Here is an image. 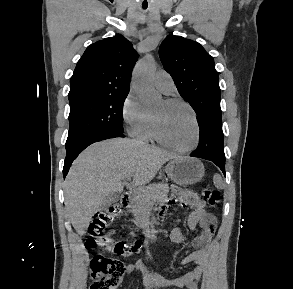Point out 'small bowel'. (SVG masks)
Instances as JSON below:
<instances>
[{
    "mask_svg": "<svg viewBox=\"0 0 293 289\" xmlns=\"http://www.w3.org/2000/svg\"><path fill=\"white\" fill-rule=\"evenodd\" d=\"M184 204L193 208L192 213L187 220V226L190 231L195 230L199 225L201 233L190 242L192 251L182 260V264H194V268L172 278H166L153 272L145 263L136 262L130 264L127 270H141L145 274L146 289L158 288H176L185 287L186 289H199L203 265L205 263L207 247L212 239L216 229V218L205 209V203L196 194L186 192L183 195ZM170 238L175 243H184L185 235L177 227L170 232Z\"/></svg>",
    "mask_w": 293,
    "mask_h": 289,
    "instance_id": "obj_1",
    "label": "small bowel"
}]
</instances>
